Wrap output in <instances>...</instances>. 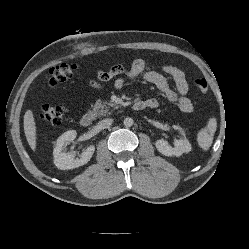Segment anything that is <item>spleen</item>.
I'll return each mask as SVG.
<instances>
[{"label":"spleen","instance_id":"obj_1","mask_svg":"<svg viewBox=\"0 0 249 249\" xmlns=\"http://www.w3.org/2000/svg\"><path fill=\"white\" fill-rule=\"evenodd\" d=\"M216 129V118L211 117L208 120L207 125L198 132L197 142L200 148H202L204 151H207L211 147Z\"/></svg>","mask_w":249,"mask_h":249}]
</instances>
